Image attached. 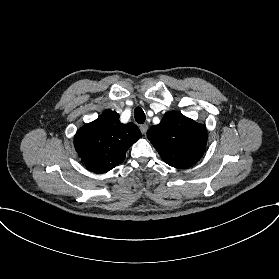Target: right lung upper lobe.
I'll return each instance as SVG.
<instances>
[{
	"mask_svg": "<svg viewBox=\"0 0 279 279\" xmlns=\"http://www.w3.org/2000/svg\"><path fill=\"white\" fill-rule=\"evenodd\" d=\"M141 136L135 124L123 125L117 112L107 110L78 130L74 146L87 169L105 173L124 161L128 148Z\"/></svg>",
	"mask_w": 279,
	"mask_h": 279,
	"instance_id": "cb5924a9",
	"label": "right lung upper lobe"
}]
</instances>
